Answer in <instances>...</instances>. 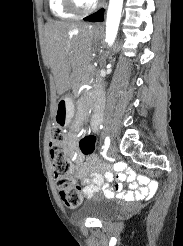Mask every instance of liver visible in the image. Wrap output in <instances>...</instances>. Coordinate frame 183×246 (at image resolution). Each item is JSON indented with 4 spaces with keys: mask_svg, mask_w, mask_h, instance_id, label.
Returning a JSON list of instances; mask_svg holds the SVG:
<instances>
[{
    "mask_svg": "<svg viewBox=\"0 0 183 246\" xmlns=\"http://www.w3.org/2000/svg\"><path fill=\"white\" fill-rule=\"evenodd\" d=\"M93 30L85 23L52 21L46 26V47L56 81L62 95L90 64Z\"/></svg>",
    "mask_w": 183,
    "mask_h": 246,
    "instance_id": "6515ba94",
    "label": "liver"
}]
</instances>
